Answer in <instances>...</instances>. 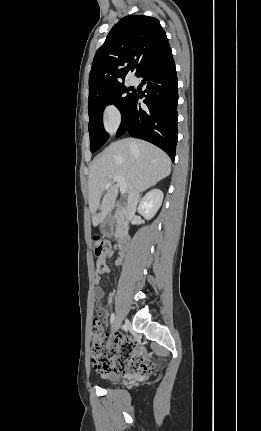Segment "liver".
I'll return each mask as SVG.
<instances>
[{
    "instance_id": "obj_1",
    "label": "liver",
    "mask_w": 261,
    "mask_h": 431,
    "mask_svg": "<svg viewBox=\"0 0 261 431\" xmlns=\"http://www.w3.org/2000/svg\"><path fill=\"white\" fill-rule=\"evenodd\" d=\"M171 172L168 155L158 147L142 140L126 138L111 143L93 161L88 176L89 208L93 226L102 223L114 207L117 186L106 189L105 184L115 176L126 181L128 195L154 186ZM103 196L102 202L100 200ZM98 208L100 212L97 213Z\"/></svg>"
}]
</instances>
